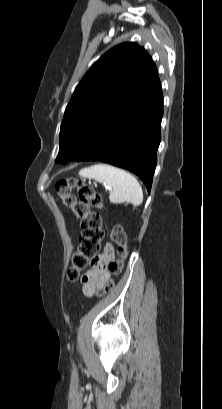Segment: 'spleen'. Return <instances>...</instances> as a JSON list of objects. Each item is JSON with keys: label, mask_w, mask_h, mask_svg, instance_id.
I'll list each match as a JSON object with an SVG mask.
<instances>
[{"label": "spleen", "mask_w": 222, "mask_h": 409, "mask_svg": "<svg viewBox=\"0 0 222 409\" xmlns=\"http://www.w3.org/2000/svg\"><path fill=\"white\" fill-rule=\"evenodd\" d=\"M81 177L107 183L112 189L109 195L111 203H131L140 206L143 201V191L137 179L125 170L108 164H95L79 171Z\"/></svg>", "instance_id": "spleen-1"}]
</instances>
